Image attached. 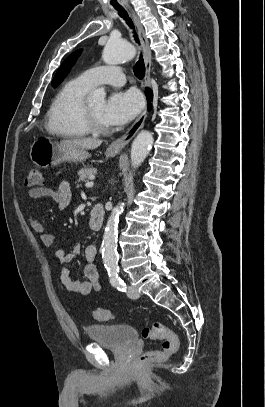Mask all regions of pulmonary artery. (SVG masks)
Returning a JSON list of instances; mask_svg holds the SVG:
<instances>
[{
	"mask_svg": "<svg viewBox=\"0 0 265 407\" xmlns=\"http://www.w3.org/2000/svg\"><path fill=\"white\" fill-rule=\"evenodd\" d=\"M78 79L89 88L100 84L121 86L126 80L123 70L114 66H98L88 69L82 72Z\"/></svg>",
	"mask_w": 265,
	"mask_h": 407,
	"instance_id": "1",
	"label": "pulmonary artery"
}]
</instances>
